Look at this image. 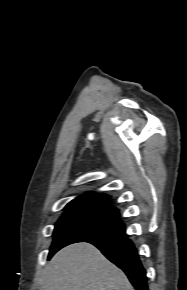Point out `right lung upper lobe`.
Segmentation results:
<instances>
[{"instance_id":"right-lung-upper-lobe-1","label":"right lung upper lobe","mask_w":187,"mask_h":290,"mask_svg":"<svg viewBox=\"0 0 187 290\" xmlns=\"http://www.w3.org/2000/svg\"><path fill=\"white\" fill-rule=\"evenodd\" d=\"M92 208V209H103L114 212L118 215V210L113 208L110 204V197L107 195H97L93 193L83 194L70 203L64 208L65 211Z\"/></svg>"}]
</instances>
